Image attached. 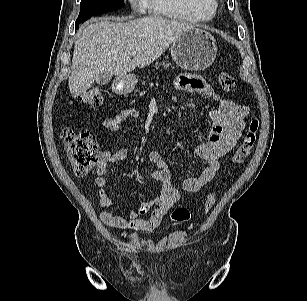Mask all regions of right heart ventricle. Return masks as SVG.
Masks as SVG:
<instances>
[{"mask_svg": "<svg viewBox=\"0 0 307 301\" xmlns=\"http://www.w3.org/2000/svg\"><path fill=\"white\" fill-rule=\"evenodd\" d=\"M150 13L185 22H205L216 13V0H144Z\"/></svg>", "mask_w": 307, "mask_h": 301, "instance_id": "1", "label": "right heart ventricle"}]
</instances>
